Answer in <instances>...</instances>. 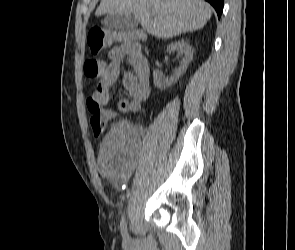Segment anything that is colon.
I'll list each match as a JSON object with an SVG mask.
<instances>
[{
    "label": "colon",
    "instance_id": "1",
    "mask_svg": "<svg viewBox=\"0 0 295 250\" xmlns=\"http://www.w3.org/2000/svg\"><path fill=\"white\" fill-rule=\"evenodd\" d=\"M121 42L131 50L140 49L144 41V33L139 30H117L103 27H93L88 33V44L92 54L97 55L111 46L113 42ZM104 70V63L97 58H88L84 62L86 77L94 79L100 77ZM87 108L91 114L90 124L95 137L103 134L108 121L113 118L114 112L104 109L91 97L87 99Z\"/></svg>",
    "mask_w": 295,
    "mask_h": 250
}]
</instances>
